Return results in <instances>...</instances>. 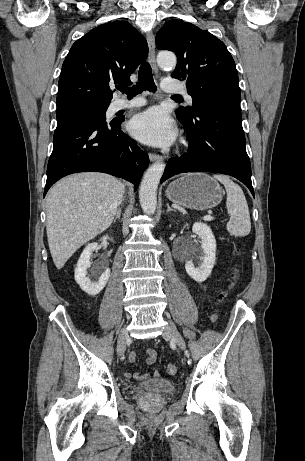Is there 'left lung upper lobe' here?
Returning a JSON list of instances; mask_svg holds the SVG:
<instances>
[{
    "mask_svg": "<svg viewBox=\"0 0 305 461\" xmlns=\"http://www.w3.org/2000/svg\"><path fill=\"white\" fill-rule=\"evenodd\" d=\"M159 50L177 55V66L171 74L186 80L192 107L175 112L182 119L192 118L214 102L240 101L238 71L222 41L197 26L179 20L168 21L156 35Z\"/></svg>",
    "mask_w": 305,
    "mask_h": 461,
    "instance_id": "5c2ea615",
    "label": "left lung upper lobe"
}]
</instances>
